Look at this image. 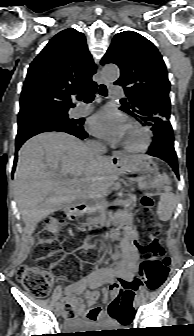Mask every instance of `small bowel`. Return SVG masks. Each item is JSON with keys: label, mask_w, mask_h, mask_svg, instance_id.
Masks as SVG:
<instances>
[{"label": "small bowel", "mask_w": 194, "mask_h": 336, "mask_svg": "<svg viewBox=\"0 0 194 336\" xmlns=\"http://www.w3.org/2000/svg\"><path fill=\"white\" fill-rule=\"evenodd\" d=\"M119 219L125 224V227L120 242L121 252H115L112 256L113 267L95 268L65 288L66 297L63 304L71 302L74 306L70 318L75 321L84 319L88 322V327L102 322L109 325L116 323L114 320L106 319L100 309L95 307L100 296L98 289H102L104 299L107 300L108 296L104 285L115 281L130 282L138 268L139 255L136 247L138 233L131 225L130 212L126 211ZM80 295H84L85 301L79 299ZM84 327L86 326L84 325Z\"/></svg>", "instance_id": "c3829d8e"}]
</instances>
